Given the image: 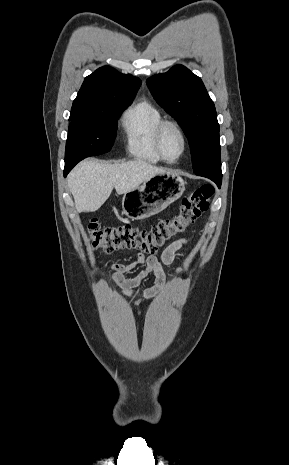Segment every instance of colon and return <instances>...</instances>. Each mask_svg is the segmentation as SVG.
Listing matches in <instances>:
<instances>
[{
    "label": "colon",
    "instance_id": "obj_1",
    "mask_svg": "<svg viewBox=\"0 0 289 465\" xmlns=\"http://www.w3.org/2000/svg\"><path fill=\"white\" fill-rule=\"evenodd\" d=\"M213 194L214 188L211 185L191 190L182 199L175 215L150 228L129 224L103 228L97 219H91L86 228V239L92 247L106 252L138 249L142 253L153 254L174 237L185 233L208 210Z\"/></svg>",
    "mask_w": 289,
    "mask_h": 465
}]
</instances>
